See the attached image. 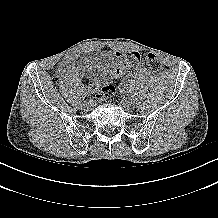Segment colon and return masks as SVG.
<instances>
[{"mask_svg": "<svg viewBox=\"0 0 218 218\" xmlns=\"http://www.w3.org/2000/svg\"><path fill=\"white\" fill-rule=\"evenodd\" d=\"M142 63L152 72H159L162 69V63L156 55L150 53L145 57H142L137 52H131L126 55L124 62L120 66L113 69L112 76L114 78H118L125 74L129 68L137 67ZM57 79L58 77L56 76L55 80ZM114 92V86L106 84L97 88L96 98L99 101H104L109 98Z\"/></svg>", "mask_w": 218, "mask_h": 218, "instance_id": "colon-1", "label": "colon"}]
</instances>
